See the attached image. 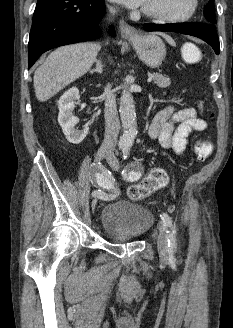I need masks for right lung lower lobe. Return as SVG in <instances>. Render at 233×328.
<instances>
[{
	"label": "right lung lower lobe",
	"instance_id": "obj_1",
	"mask_svg": "<svg viewBox=\"0 0 233 328\" xmlns=\"http://www.w3.org/2000/svg\"><path fill=\"white\" fill-rule=\"evenodd\" d=\"M103 0H38L28 44L29 68L52 48L96 39ZM110 33L115 35L114 29Z\"/></svg>",
	"mask_w": 233,
	"mask_h": 328
}]
</instances>
